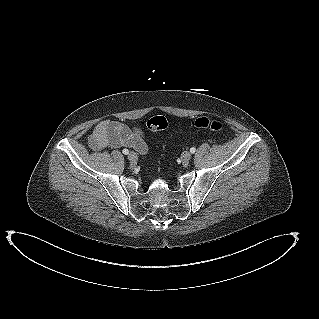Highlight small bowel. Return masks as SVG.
<instances>
[{
  "mask_svg": "<svg viewBox=\"0 0 319 319\" xmlns=\"http://www.w3.org/2000/svg\"><path fill=\"white\" fill-rule=\"evenodd\" d=\"M90 145L97 151L107 147H128L141 154H146L149 149L145 133L140 127L130 128L111 120H103L96 126L90 137Z\"/></svg>",
  "mask_w": 319,
  "mask_h": 319,
  "instance_id": "small-bowel-1",
  "label": "small bowel"
}]
</instances>
